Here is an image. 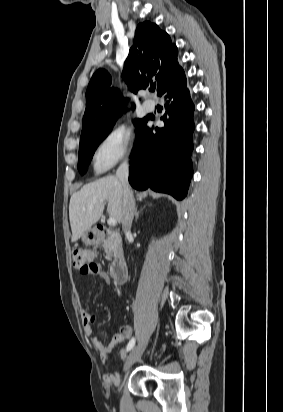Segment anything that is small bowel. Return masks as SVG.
Segmentation results:
<instances>
[{"mask_svg":"<svg viewBox=\"0 0 283 412\" xmlns=\"http://www.w3.org/2000/svg\"><path fill=\"white\" fill-rule=\"evenodd\" d=\"M91 276H98L103 278L106 282H110L109 276L101 269L97 274H93ZM81 319L86 334L90 337L93 346L99 352L100 358L103 362H107L109 360L110 353L116 345L125 343L131 338L133 334L131 326H123L119 334L114 335L110 342L104 344L95 334L94 325L96 323V315L87 310H82ZM120 353L124 357V353L122 350L120 351ZM104 380L108 384L117 385L120 382V377L115 372H109L104 375Z\"/></svg>","mask_w":283,"mask_h":412,"instance_id":"obj_1","label":"small bowel"}]
</instances>
